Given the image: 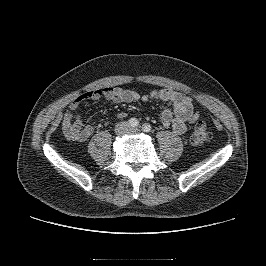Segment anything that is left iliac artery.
Segmentation results:
<instances>
[{"label":"left iliac artery","instance_id":"44dca946","mask_svg":"<svg viewBox=\"0 0 266 266\" xmlns=\"http://www.w3.org/2000/svg\"><path fill=\"white\" fill-rule=\"evenodd\" d=\"M142 130L144 132H150L151 131V125L150 124H144L142 127Z\"/></svg>","mask_w":266,"mask_h":266}]
</instances>
